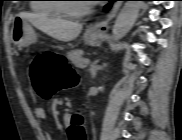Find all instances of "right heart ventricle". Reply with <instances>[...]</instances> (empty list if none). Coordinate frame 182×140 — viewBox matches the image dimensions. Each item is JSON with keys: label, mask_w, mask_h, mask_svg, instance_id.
<instances>
[{"label": "right heart ventricle", "mask_w": 182, "mask_h": 140, "mask_svg": "<svg viewBox=\"0 0 182 140\" xmlns=\"http://www.w3.org/2000/svg\"><path fill=\"white\" fill-rule=\"evenodd\" d=\"M57 0H32L30 8L32 11L38 14L47 16H61V12L58 9V4L53 3Z\"/></svg>", "instance_id": "e07e8e85"}]
</instances>
